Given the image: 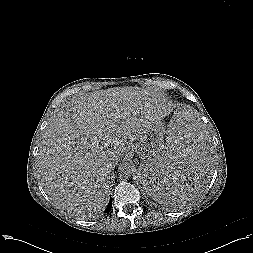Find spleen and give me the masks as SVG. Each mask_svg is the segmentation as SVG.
Wrapping results in <instances>:
<instances>
[{
	"instance_id": "3e777b00",
	"label": "spleen",
	"mask_w": 253,
	"mask_h": 253,
	"mask_svg": "<svg viewBox=\"0 0 253 253\" xmlns=\"http://www.w3.org/2000/svg\"><path fill=\"white\" fill-rule=\"evenodd\" d=\"M214 160L207 125L197 111L175 113L144 164L139 184L154 201L176 205L203 191L211 179Z\"/></svg>"
}]
</instances>
